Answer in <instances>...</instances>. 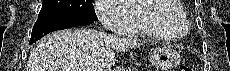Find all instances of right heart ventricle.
<instances>
[{
  "instance_id": "obj_1",
  "label": "right heart ventricle",
  "mask_w": 230,
  "mask_h": 71,
  "mask_svg": "<svg viewBox=\"0 0 230 71\" xmlns=\"http://www.w3.org/2000/svg\"><path fill=\"white\" fill-rule=\"evenodd\" d=\"M141 2L142 1H138L135 3H128L126 5V8L133 17V23L131 27L127 28L123 34L129 36H147L160 39H179L174 38L170 33L160 31L156 27H154L148 18L149 13L146 9V5H143ZM170 8L175 13L182 15L184 14L180 2L172 4Z\"/></svg>"
}]
</instances>
